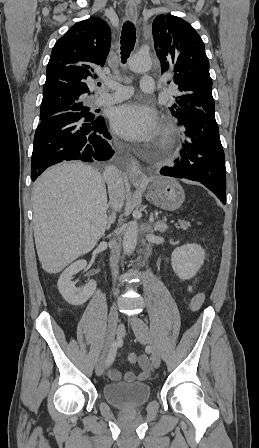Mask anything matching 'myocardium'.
I'll return each instance as SVG.
<instances>
[{"mask_svg":"<svg viewBox=\"0 0 259 448\" xmlns=\"http://www.w3.org/2000/svg\"><path fill=\"white\" fill-rule=\"evenodd\" d=\"M172 135H173V127H172V125H167L162 130L161 142L162 143L168 142L171 139Z\"/></svg>","mask_w":259,"mask_h":448,"instance_id":"myocardium-1","label":"myocardium"}]
</instances>
